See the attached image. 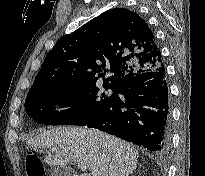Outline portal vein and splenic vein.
I'll use <instances>...</instances> for the list:
<instances>
[{
	"instance_id": "obj_1",
	"label": "portal vein and splenic vein",
	"mask_w": 205,
	"mask_h": 176,
	"mask_svg": "<svg viewBox=\"0 0 205 176\" xmlns=\"http://www.w3.org/2000/svg\"><path fill=\"white\" fill-rule=\"evenodd\" d=\"M78 167L82 170V171H86L87 167L83 164H78Z\"/></svg>"
}]
</instances>
